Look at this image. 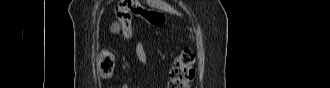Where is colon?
Returning a JSON list of instances; mask_svg holds the SVG:
<instances>
[{
	"label": "colon",
	"mask_w": 330,
	"mask_h": 88,
	"mask_svg": "<svg viewBox=\"0 0 330 88\" xmlns=\"http://www.w3.org/2000/svg\"><path fill=\"white\" fill-rule=\"evenodd\" d=\"M116 16L125 39L132 36L131 20L135 16L145 19L151 25H159L163 21L160 14L143 8L137 0L121 1L116 9ZM193 64V52L189 47H185L174 60L169 88H188L195 76ZM98 68L103 79L113 76L115 59L110 50L104 49L99 53Z\"/></svg>",
	"instance_id": "5ec220e1"
}]
</instances>
